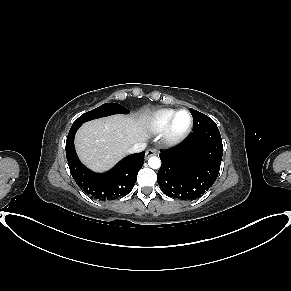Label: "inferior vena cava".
<instances>
[{"mask_svg": "<svg viewBox=\"0 0 291 291\" xmlns=\"http://www.w3.org/2000/svg\"><path fill=\"white\" fill-rule=\"evenodd\" d=\"M146 148V143H136L131 148L128 149V153H139Z\"/></svg>", "mask_w": 291, "mask_h": 291, "instance_id": "1", "label": "inferior vena cava"}]
</instances>
